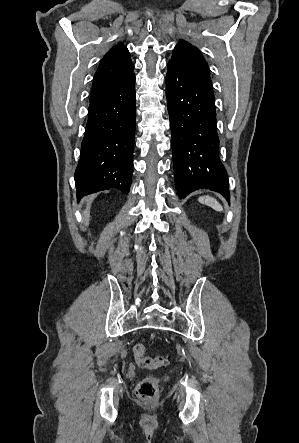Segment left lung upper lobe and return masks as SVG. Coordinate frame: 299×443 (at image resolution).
<instances>
[{"label": "left lung upper lobe", "instance_id": "5c2ea615", "mask_svg": "<svg viewBox=\"0 0 299 443\" xmlns=\"http://www.w3.org/2000/svg\"><path fill=\"white\" fill-rule=\"evenodd\" d=\"M169 62L212 88L209 67L200 51L190 43L181 40L174 48L172 59Z\"/></svg>", "mask_w": 299, "mask_h": 443}]
</instances>
